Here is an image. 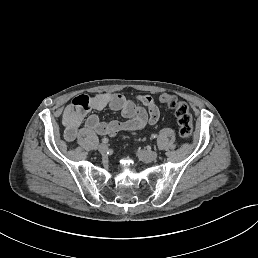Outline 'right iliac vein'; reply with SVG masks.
I'll list each match as a JSON object with an SVG mask.
<instances>
[{"label":"right iliac vein","instance_id":"63e3f726","mask_svg":"<svg viewBox=\"0 0 258 258\" xmlns=\"http://www.w3.org/2000/svg\"><path fill=\"white\" fill-rule=\"evenodd\" d=\"M97 150L99 153L104 154L108 151V146L104 143L98 145Z\"/></svg>","mask_w":258,"mask_h":258}]
</instances>
